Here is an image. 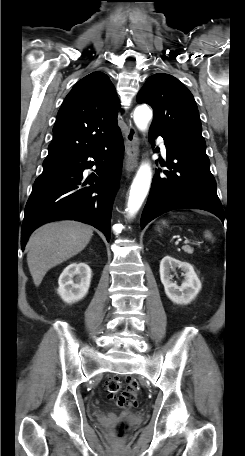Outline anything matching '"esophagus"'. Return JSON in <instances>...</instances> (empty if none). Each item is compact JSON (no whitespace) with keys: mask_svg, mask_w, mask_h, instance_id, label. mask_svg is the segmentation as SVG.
<instances>
[{"mask_svg":"<svg viewBox=\"0 0 245 456\" xmlns=\"http://www.w3.org/2000/svg\"><path fill=\"white\" fill-rule=\"evenodd\" d=\"M126 139V170L128 172L133 171L138 165L139 156V139L136 129L128 124L127 131L125 133Z\"/></svg>","mask_w":245,"mask_h":456,"instance_id":"obj_1","label":"esophagus"}]
</instances>
